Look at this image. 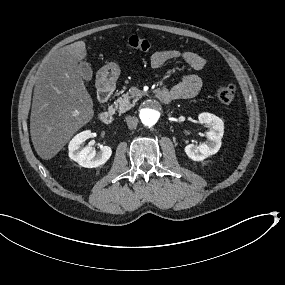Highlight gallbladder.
I'll list each match as a JSON object with an SVG mask.
<instances>
[{
  "label": "gallbladder",
  "mask_w": 285,
  "mask_h": 285,
  "mask_svg": "<svg viewBox=\"0 0 285 285\" xmlns=\"http://www.w3.org/2000/svg\"><path fill=\"white\" fill-rule=\"evenodd\" d=\"M78 68L81 72V76L84 80L90 81L93 76V71L91 69V66L87 62H80L78 65Z\"/></svg>",
  "instance_id": "bac80fb5"
}]
</instances>
